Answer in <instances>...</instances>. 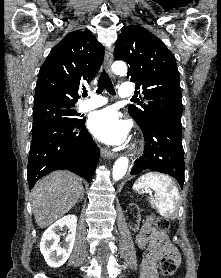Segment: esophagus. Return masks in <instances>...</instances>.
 <instances>
[{
    "mask_svg": "<svg viewBox=\"0 0 221 278\" xmlns=\"http://www.w3.org/2000/svg\"><path fill=\"white\" fill-rule=\"evenodd\" d=\"M112 61H113V49L108 48L105 51V67L109 74H112V72H111ZM101 155L103 158H106V159H113L116 157V153L110 151L108 148H105V147L101 148Z\"/></svg>",
    "mask_w": 221,
    "mask_h": 278,
    "instance_id": "esophagus-1",
    "label": "esophagus"
}]
</instances>
